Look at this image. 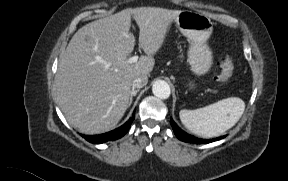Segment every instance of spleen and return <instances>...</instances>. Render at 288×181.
<instances>
[{
	"label": "spleen",
	"instance_id": "1",
	"mask_svg": "<svg viewBox=\"0 0 288 181\" xmlns=\"http://www.w3.org/2000/svg\"><path fill=\"white\" fill-rule=\"evenodd\" d=\"M245 103L238 97H230L195 110L179 112L182 124L192 133L210 138L223 134L241 118Z\"/></svg>",
	"mask_w": 288,
	"mask_h": 181
}]
</instances>
